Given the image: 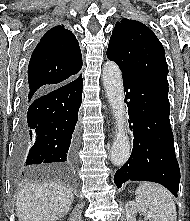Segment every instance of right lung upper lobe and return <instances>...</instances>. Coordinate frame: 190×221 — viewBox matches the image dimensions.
<instances>
[{"instance_id": "1", "label": "right lung upper lobe", "mask_w": 190, "mask_h": 221, "mask_svg": "<svg viewBox=\"0 0 190 221\" xmlns=\"http://www.w3.org/2000/svg\"><path fill=\"white\" fill-rule=\"evenodd\" d=\"M82 56L75 35L58 25L47 31L34 49L25 96L70 82L79 76Z\"/></svg>"}]
</instances>
